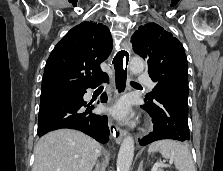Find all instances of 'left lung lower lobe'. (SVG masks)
<instances>
[{
    "mask_svg": "<svg viewBox=\"0 0 223 171\" xmlns=\"http://www.w3.org/2000/svg\"><path fill=\"white\" fill-rule=\"evenodd\" d=\"M142 108L150 114L154 126L153 131L140 140L141 146L162 139L190 140L187 100L175 93L164 91L152 103H146Z\"/></svg>",
    "mask_w": 223,
    "mask_h": 171,
    "instance_id": "0a47b994",
    "label": "left lung lower lobe"
}]
</instances>
